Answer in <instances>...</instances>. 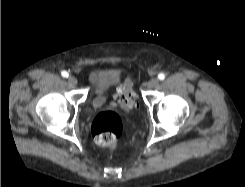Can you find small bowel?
I'll return each mask as SVG.
<instances>
[{
  "label": "small bowel",
  "instance_id": "small-bowel-1",
  "mask_svg": "<svg viewBox=\"0 0 245 187\" xmlns=\"http://www.w3.org/2000/svg\"><path fill=\"white\" fill-rule=\"evenodd\" d=\"M93 87L95 91V98L93 100V106L95 108L101 107L105 103V94L99 81V74L97 72L92 73Z\"/></svg>",
  "mask_w": 245,
  "mask_h": 187
}]
</instances>
